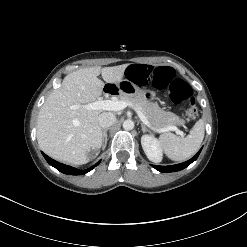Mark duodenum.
Here are the masks:
<instances>
[{"mask_svg":"<svg viewBox=\"0 0 247 247\" xmlns=\"http://www.w3.org/2000/svg\"><path fill=\"white\" fill-rule=\"evenodd\" d=\"M118 89L116 86L109 85L104 88V93L105 94H115L117 93Z\"/></svg>","mask_w":247,"mask_h":247,"instance_id":"obj_1","label":"duodenum"}]
</instances>
